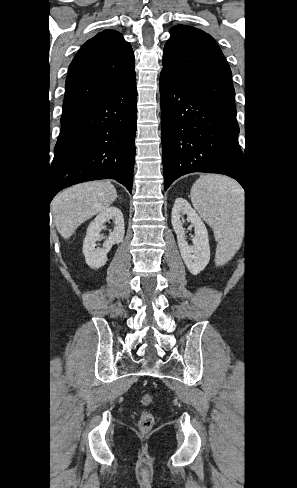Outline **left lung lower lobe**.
I'll list each match as a JSON object with an SVG mask.
<instances>
[{"label": "left lung lower lobe", "instance_id": "1", "mask_svg": "<svg viewBox=\"0 0 297 488\" xmlns=\"http://www.w3.org/2000/svg\"><path fill=\"white\" fill-rule=\"evenodd\" d=\"M164 189L192 172L219 173L247 187L236 115L160 76Z\"/></svg>", "mask_w": 297, "mask_h": 488}]
</instances>
